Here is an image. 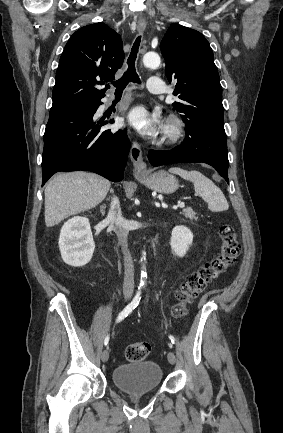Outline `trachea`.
Returning a JSON list of instances; mask_svg holds the SVG:
<instances>
[{
  "label": "trachea",
  "mask_w": 283,
  "mask_h": 433,
  "mask_svg": "<svg viewBox=\"0 0 283 433\" xmlns=\"http://www.w3.org/2000/svg\"><path fill=\"white\" fill-rule=\"evenodd\" d=\"M140 43H141V37H137L132 46L130 55L127 59L128 68L126 72L122 75L121 78H119V80L113 82V85L116 88L115 93H122L123 90L127 87L128 83L130 82L140 83V78L135 68V61L139 51Z\"/></svg>",
  "instance_id": "trachea-1"
}]
</instances>
